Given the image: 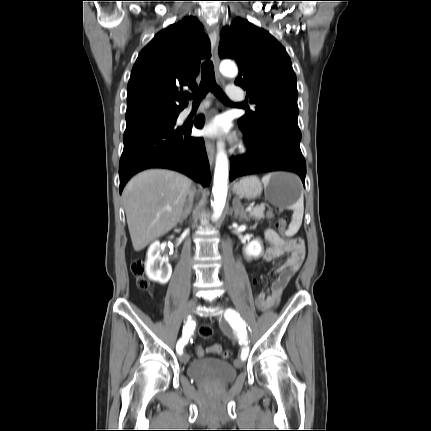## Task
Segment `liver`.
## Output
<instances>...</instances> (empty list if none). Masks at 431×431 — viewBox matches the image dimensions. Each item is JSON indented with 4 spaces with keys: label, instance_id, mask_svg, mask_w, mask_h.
Listing matches in <instances>:
<instances>
[{
    "label": "liver",
    "instance_id": "obj_1",
    "mask_svg": "<svg viewBox=\"0 0 431 431\" xmlns=\"http://www.w3.org/2000/svg\"><path fill=\"white\" fill-rule=\"evenodd\" d=\"M190 186L188 177L163 169L143 171L128 182L122 198L135 251L144 249L180 222Z\"/></svg>",
    "mask_w": 431,
    "mask_h": 431
}]
</instances>
